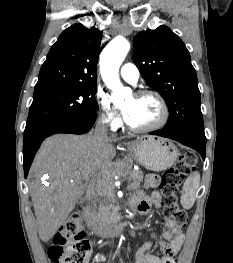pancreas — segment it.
I'll return each mask as SVG.
<instances>
[{
  "instance_id": "cf45deb5",
  "label": "pancreas",
  "mask_w": 233,
  "mask_h": 263,
  "mask_svg": "<svg viewBox=\"0 0 233 263\" xmlns=\"http://www.w3.org/2000/svg\"><path fill=\"white\" fill-rule=\"evenodd\" d=\"M144 174L141 170H133L129 175V180L132 181L128 185V189L136 190L140 187L143 181ZM115 217V207L106 199L99 203L98 210L94 211L92 220L87 219L88 223L91 224H109L114 220Z\"/></svg>"
}]
</instances>
